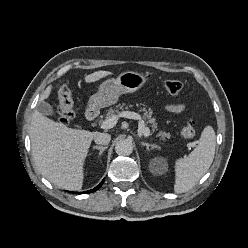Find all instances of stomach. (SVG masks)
<instances>
[{"label":"stomach","mask_w":248,"mask_h":248,"mask_svg":"<svg viewBox=\"0 0 248 248\" xmlns=\"http://www.w3.org/2000/svg\"><path fill=\"white\" fill-rule=\"evenodd\" d=\"M147 82L144 74L126 71L121 73L117 78H110L104 81L97 93L89 99V107L100 109L111 106L118 101L121 94L133 93L142 88Z\"/></svg>","instance_id":"obj_1"}]
</instances>
